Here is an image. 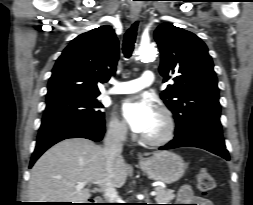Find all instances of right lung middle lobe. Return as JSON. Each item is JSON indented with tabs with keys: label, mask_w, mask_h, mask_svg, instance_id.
Instances as JSON below:
<instances>
[{
	"label": "right lung middle lobe",
	"mask_w": 253,
	"mask_h": 205,
	"mask_svg": "<svg viewBox=\"0 0 253 205\" xmlns=\"http://www.w3.org/2000/svg\"><path fill=\"white\" fill-rule=\"evenodd\" d=\"M98 95L67 96L47 101L43 119L73 118L87 121H103L104 113L96 97Z\"/></svg>",
	"instance_id": "dd1d6c3e"
}]
</instances>
